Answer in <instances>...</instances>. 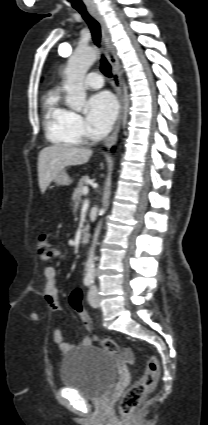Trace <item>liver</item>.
Listing matches in <instances>:
<instances>
[{"mask_svg": "<svg viewBox=\"0 0 208 425\" xmlns=\"http://www.w3.org/2000/svg\"><path fill=\"white\" fill-rule=\"evenodd\" d=\"M92 150L70 145H53L42 149L38 156V180L41 193H45L54 177L67 166L89 161Z\"/></svg>", "mask_w": 208, "mask_h": 425, "instance_id": "obj_1", "label": "liver"}]
</instances>
